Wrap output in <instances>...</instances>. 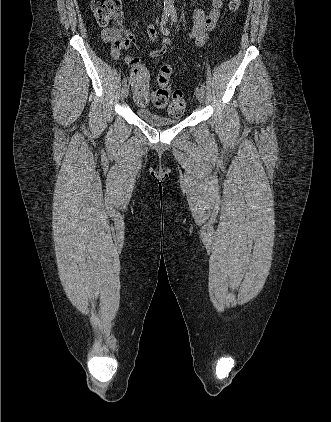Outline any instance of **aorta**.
<instances>
[{
	"label": "aorta",
	"mask_w": 331,
	"mask_h": 422,
	"mask_svg": "<svg viewBox=\"0 0 331 422\" xmlns=\"http://www.w3.org/2000/svg\"><path fill=\"white\" fill-rule=\"evenodd\" d=\"M164 10L167 12H173L174 8V0H164Z\"/></svg>",
	"instance_id": "aorta-1"
}]
</instances>
